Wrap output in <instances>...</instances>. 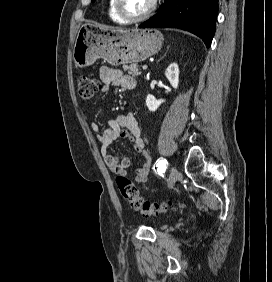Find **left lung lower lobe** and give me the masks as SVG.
Here are the masks:
<instances>
[{
    "label": "left lung lower lobe",
    "mask_w": 272,
    "mask_h": 282,
    "mask_svg": "<svg viewBox=\"0 0 272 282\" xmlns=\"http://www.w3.org/2000/svg\"><path fill=\"white\" fill-rule=\"evenodd\" d=\"M218 0H165L140 28H179L199 36L210 47L215 33Z\"/></svg>",
    "instance_id": "0a47b994"
}]
</instances>
